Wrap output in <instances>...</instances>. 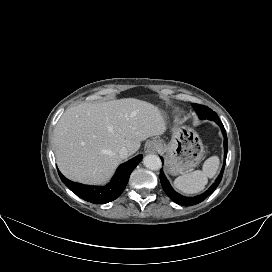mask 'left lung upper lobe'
Wrapping results in <instances>:
<instances>
[{
    "mask_svg": "<svg viewBox=\"0 0 272 272\" xmlns=\"http://www.w3.org/2000/svg\"><path fill=\"white\" fill-rule=\"evenodd\" d=\"M193 108L195 109V111L197 112V114L199 115L200 118L202 119H210L214 116H217V114L215 112H213L211 109H209L206 106H202L199 104H192Z\"/></svg>",
    "mask_w": 272,
    "mask_h": 272,
    "instance_id": "obj_1",
    "label": "left lung upper lobe"
}]
</instances>
